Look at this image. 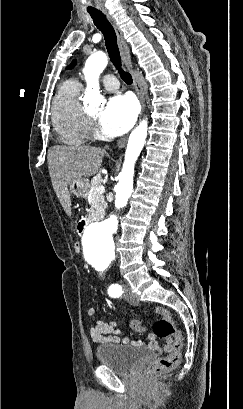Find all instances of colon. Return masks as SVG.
Returning a JSON list of instances; mask_svg holds the SVG:
<instances>
[{
	"label": "colon",
	"instance_id": "colon-1",
	"mask_svg": "<svg viewBox=\"0 0 243 409\" xmlns=\"http://www.w3.org/2000/svg\"><path fill=\"white\" fill-rule=\"evenodd\" d=\"M73 249L76 253L80 252V244L75 241ZM155 312L161 317L153 324V331L156 336L164 339L166 344L172 345V350L166 356L154 360L148 367V374L151 376L166 373L174 369L181 359L183 348V336L175 324L170 311L163 307H157ZM131 327L135 331L145 330V324L142 320H133Z\"/></svg>",
	"mask_w": 243,
	"mask_h": 409
}]
</instances>
